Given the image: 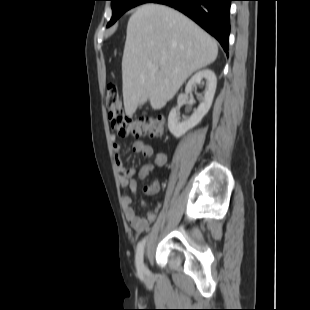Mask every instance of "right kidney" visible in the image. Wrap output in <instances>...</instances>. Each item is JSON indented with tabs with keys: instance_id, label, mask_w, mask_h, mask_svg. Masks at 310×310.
<instances>
[{
	"instance_id": "ca27d5eb",
	"label": "right kidney",
	"mask_w": 310,
	"mask_h": 310,
	"mask_svg": "<svg viewBox=\"0 0 310 310\" xmlns=\"http://www.w3.org/2000/svg\"><path fill=\"white\" fill-rule=\"evenodd\" d=\"M203 79H206V89L204 96H200L201 103L192 116L180 122L179 113L176 108H173L168 116V128L174 137L179 138L188 130L198 125L202 118L208 113L216 91L217 79L215 73L211 69H203L195 73L188 81L185 92L191 94L194 85L200 84Z\"/></svg>"
}]
</instances>
